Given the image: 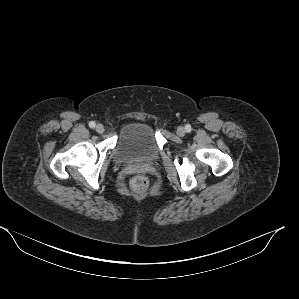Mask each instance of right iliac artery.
<instances>
[{"label": "right iliac artery", "instance_id": "obj_1", "mask_svg": "<svg viewBox=\"0 0 299 299\" xmlns=\"http://www.w3.org/2000/svg\"><path fill=\"white\" fill-rule=\"evenodd\" d=\"M95 125H96V123H95L94 121H91V122L89 123V127H90V128H94Z\"/></svg>", "mask_w": 299, "mask_h": 299}]
</instances>
